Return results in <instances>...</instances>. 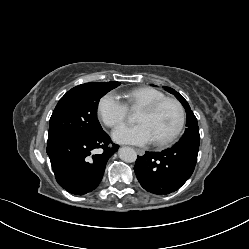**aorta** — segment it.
<instances>
[{"mask_svg":"<svg viewBox=\"0 0 249 249\" xmlns=\"http://www.w3.org/2000/svg\"><path fill=\"white\" fill-rule=\"evenodd\" d=\"M119 158L127 163L135 162L137 159V153L130 147H122L118 151Z\"/></svg>","mask_w":249,"mask_h":249,"instance_id":"1","label":"aorta"}]
</instances>
